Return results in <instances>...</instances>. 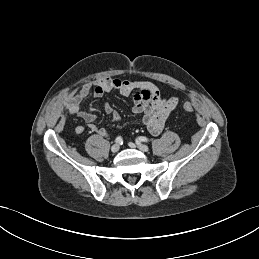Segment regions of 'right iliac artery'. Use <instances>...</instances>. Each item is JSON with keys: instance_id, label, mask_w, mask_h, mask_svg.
Returning a JSON list of instances; mask_svg holds the SVG:
<instances>
[{"instance_id": "obj_1", "label": "right iliac artery", "mask_w": 259, "mask_h": 259, "mask_svg": "<svg viewBox=\"0 0 259 259\" xmlns=\"http://www.w3.org/2000/svg\"><path fill=\"white\" fill-rule=\"evenodd\" d=\"M115 142L118 143V144H122V142H123L122 137L118 136V137L115 139Z\"/></svg>"}]
</instances>
